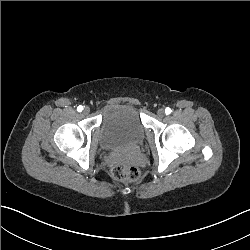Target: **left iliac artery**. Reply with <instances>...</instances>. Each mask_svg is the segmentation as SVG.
Here are the masks:
<instances>
[{
  "instance_id": "left-iliac-artery-1",
  "label": "left iliac artery",
  "mask_w": 250,
  "mask_h": 250,
  "mask_svg": "<svg viewBox=\"0 0 250 250\" xmlns=\"http://www.w3.org/2000/svg\"><path fill=\"white\" fill-rule=\"evenodd\" d=\"M171 112H172V110H171L169 107H167V108L165 109L166 115L170 114Z\"/></svg>"
}]
</instances>
